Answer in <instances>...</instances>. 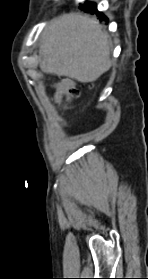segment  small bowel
Listing matches in <instances>:
<instances>
[{
  "label": "small bowel",
  "mask_w": 148,
  "mask_h": 279,
  "mask_svg": "<svg viewBox=\"0 0 148 279\" xmlns=\"http://www.w3.org/2000/svg\"><path fill=\"white\" fill-rule=\"evenodd\" d=\"M73 97H75V96H69V97L65 98V101L70 102L73 99Z\"/></svg>",
  "instance_id": "1"
}]
</instances>
